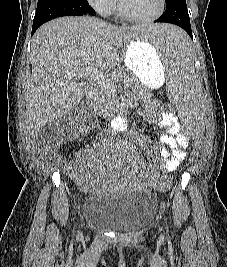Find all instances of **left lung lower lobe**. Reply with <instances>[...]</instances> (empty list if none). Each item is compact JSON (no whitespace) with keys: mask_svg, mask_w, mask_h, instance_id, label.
<instances>
[{"mask_svg":"<svg viewBox=\"0 0 227 267\" xmlns=\"http://www.w3.org/2000/svg\"><path fill=\"white\" fill-rule=\"evenodd\" d=\"M155 23H171L183 28L193 40L186 0H166L165 12Z\"/></svg>","mask_w":227,"mask_h":267,"instance_id":"left-lung-lower-lobe-1","label":"left lung lower lobe"}]
</instances>
